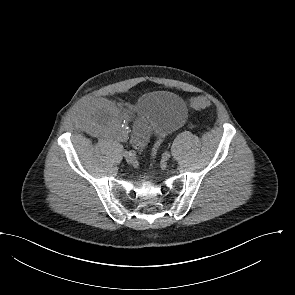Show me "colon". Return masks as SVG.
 Here are the masks:
<instances>
[{
	"instance_id": "obj_1",
	"label": "colon",
	"mask_w": 295,
	"mask_h": 295,
	"mask_svg": "<svg viewBox=\"0 0 295 295\" xmlns=\"http://www.w3.org/2000/svg\"><path fill=\"white\" fill-rule=\"evenodd\" d=\"M190 104L192 107L197 108V109L207 108V107L211 106L210 100L206 97L192 98L190 100ZM156 152H157V149L155 148L153 150V154H156Z\"/></svg>"
}]
</instances>
